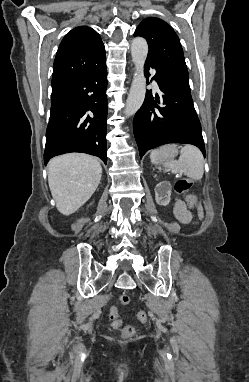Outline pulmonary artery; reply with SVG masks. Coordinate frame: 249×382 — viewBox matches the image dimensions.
Returning a JSON list of instances; mask_svg holds the SVG:
<instances>
[{
	"instance_id": "1",
	"label": "pulmonary artery",
	"mask_w": 249,
	"mask_h": 382,
	"mask_svg": "<svg viewBox=\"0 0 249 382\" xmlns=\"http://www.w3.org/2000/svg\"><path fill=\"white\" fill-rule=\"evenodd\" d=\"M153 84H154V85H156V82H155V81H153Z\"/></svg>"
}]
</instances>
